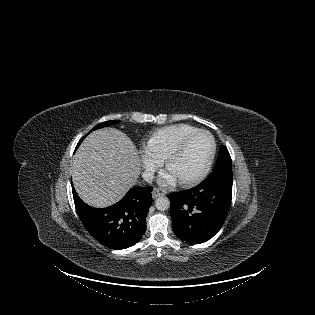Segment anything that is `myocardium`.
<instances>
[{"label":"myocardium","mask_w":315,"mask_h":315,"mask_svg":"<svg viewBox=\"0 0 315 315\" xmlns=\"http://www.w3.org/2000/svg\"><path fill=\"white\" fill-rule=\"evenodd\" d=\"M198 134H206L211 142V150H210V154L209 157L204 165V167L202 168V170L197 173L196 175L186 178V179H179L180 184L184 185V186H190V185H194L200 181H202L208 174L214 158H215V154H216V143H215V139L213 137V135L207 131V130H203V129H197L196 131H193L191 133H189L188 135H186L185 137H183L178 143L177 145L170 151V153L166 156V158L164 159V165L166 167V169L169 170V166L171 164V162L178 157L184 150V148L186 147L187 143L196 135Z\"/></svg>","instance_id":"myocardium-1"}]
</instances>
